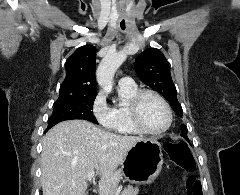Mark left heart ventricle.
<instances>
[{
  "label": "left heart ventricle",
  "instance_id": "left-heart-ventricle-1",
  "mask_svg": "<svg viewBox=\"0 0 240 195\" xmlns=\"http://www.w3.org/2000/svg\"><path fill=\"white\" fill-rule=\"evenodd\" d=\"M141 117L144 125L149 129H159L165 123V112L161 103L153 96L147 95L141 104Z\"/></svg>",
  "mask_w": 240,
  "mask_h": 195
}]
</instances>
